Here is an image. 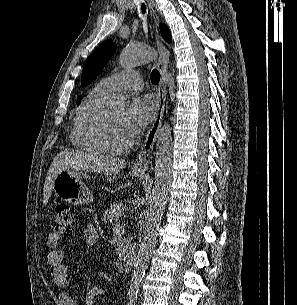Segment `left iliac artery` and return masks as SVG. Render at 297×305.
<instances>
[{
	"label": "left iliac artery",
	"mask_w": 297,
	"mask_h": 305,
	"mask_svg": "<svg viewBox=\"0 0 297 305\" xmlns=\"http://www.w3.org/2000/svg\"><path fill=\"white\" fill-rule=\"evenodd\" d=\"M127 305H137V295H130Z\"/></svg>",
	"instance_id": "left-iliac-artery-1"
}]
</instances>
